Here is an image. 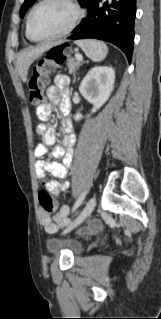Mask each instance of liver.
<instances>
[{
	"label": "liver",
	"instance_id": "obj_1",
	"mask_svg": "<svg viewBox=\"0 0 161 319\" xmlns=\"http://www.w3.org/2000/svg\"><path fill=\"white\" fill-rule=\"evenodd\" d=\"M50 47V44H44L20 51L17 58V70L23 82L27 81L28 69L33 61L39 58Z\"/></svg>",
	"mask_w": 161,
	"mask_h": 319
}]
</instances>
